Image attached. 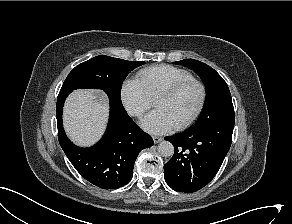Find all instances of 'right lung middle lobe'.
<instances>
[{
    "label": "right lung middle lobe",
    "instance_id": "dd1d6c3e",
    "mask_svg": "<svg viewBox=\"0 0 292 224\" xmlns=\"http://www.w3.org/2000/svg\"><path fill=\"white\" fill-rule=\"evenodd\" d=\"M143 61H127L109 56H96L77 65L67 76L60 92L80 88L103 90L110 101L121 102V87L131 70L141 66Z\"/></svg>",
    "mask_w": 292,
    "mask_h": 224
}]
</instances>
